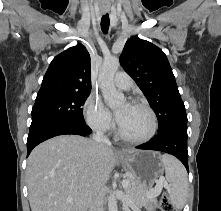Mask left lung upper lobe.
Segmentation results:
<instances>
[{
    "mask_svg": "<svg viewBox=\"0 0 221 211\" xmlns=\"http://www.w3.org/2000/svg\"><path fill=\"white\" fill-rule=\"evenodd\" d=\"M120 62L135 80L154 109L159 132L178 124H187L184 103L164 52L154 44L131 37L127 40Z\"/></svg>",
    "mask_w": 221,
    "mask_h": 211,
    "instance_id": "5c2ea615",
    "label": "left lung upper lobe"
}]
</instances>
